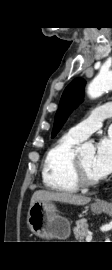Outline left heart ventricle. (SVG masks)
Masks as SVG:
<instances>
[{
	"label": "left heart ventricle",
	"mask_w": 112,
	"mask_h": 270,
	"mask_svg": "<svg viewBox=\"0 0 112 270\" xmlns=\"http://www.w3.org/2000/svg\"><path fill=\"white\" fill-rule=\"evenodd\" d=\"M78 157L87 177H89L90 179H98V177L95 175L92 169L94 154H86V155H81Z\"/></svg>",
	"instance_id": "left-heart-ventricle-1"
}]
</instances>
